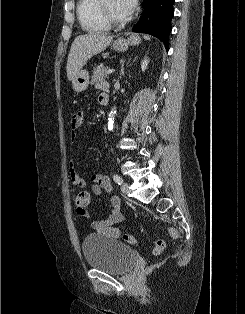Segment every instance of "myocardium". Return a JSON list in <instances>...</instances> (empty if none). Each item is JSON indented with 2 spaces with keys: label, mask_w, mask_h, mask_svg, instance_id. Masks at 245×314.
<instances>
[{
  "label": "myocardium",
  "mask_w": 245,
  "mask_h": 314,
  "mask_svg": "<svg viewBox=\"0 0 245 314\" xmlns=\"http://www.w3.org/2000/svg\"><path fill=\"white\" fill-rule=\"evenodd\" d=\"M104 0H98L97 2V12L100 19L108 26V27H121L126 25L131 20V14H129L126 18L121 20H115L111 18L105 11L104 8Z\"/></svg>",
  "instance_id": "myocardium-1"
}]
</instances>
